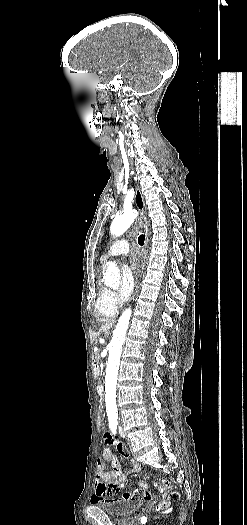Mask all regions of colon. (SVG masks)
Returning <instances> with one entry per match:
<instances>
[{"label":"colon","mask_w":247,"mask_h":525,"mask_svg":"<svg viewBox=\"0 0 247 525\" xmlns=\"http://www.w3.org/2000/svg\"><path fill=\"white\" fill-rule=\"evenodd\" d=\"M95 424L96 426L98 427V431H104V426L106 424V421L104 418L102 417H99L96 419L95 421ZM169 490V496L171 497V500H172V503H171V506H170V510L173 506V503L179 499V494L177 491H175L174 489H168Z\"/></svg>","instance_id":"obj_1"}]
</instances>
